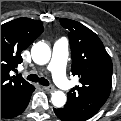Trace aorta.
<instances>
[{
    "mask_svg": "<svg viewBox=\"0 0 121 121\" xmlns=\"http://www.w3.org/2000/svg\"><path fill=\"white\" fill-rule=\"evenodd\" d=\"M32 59L36 64H47L51 58L50 47L44 42L35 43L31 49ZM52 104L55 107H63L66 103V95L63 91H55L51 95Z\"/></svg>",
    "mask_w": 121,
    "mask_h": 121,
    "instance_id": "aorta-1",
    "label": "aorta"
}]
</instances>
